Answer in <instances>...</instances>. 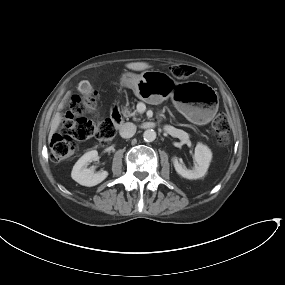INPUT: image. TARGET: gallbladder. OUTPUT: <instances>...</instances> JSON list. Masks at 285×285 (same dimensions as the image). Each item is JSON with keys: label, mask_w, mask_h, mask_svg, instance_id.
<instances>
[{"label": "gallbladder", "mask_w": 285, "mask_h": 285, "mask_svg": "<svg viewBox=\"0 0 285 285\" xmlns=\"http://www.w3.org/2000/svg\"><path fill=\"white\" fill-rule=\"evenodd\" d=\"M79 90L83 94L84 98H87L92 92V87L88 81H82ZM89 110L93 112L94 109L89 106Z\"/></svg>", "instance_id": "bac80fb5"}]
</instances>
